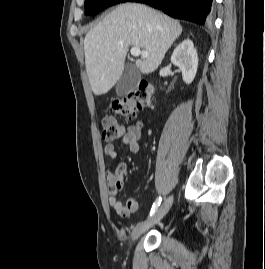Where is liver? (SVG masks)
Returning a JSON list of instances; mask_svg holds the SVG:
<instances>
[{
    "label": "liver",
    "instance_id": "1",
    "mask_svg": "<svg viewBox=\"0 0 265 269\" xmlns=\"http://www.w3.org/2000/svg\"><path fill=\"white\" fill-rule=\"evenodd\" d=\"M181 33V24L163 13L141 4L118 5L84 40L86 71L93 93L105 94L118 82L130 46L149 53L135 60L136 68L149 74L159 67Z\"/></svg>",
    "mask_w": 265,
    "mask_h": 269
}]
</instances>
